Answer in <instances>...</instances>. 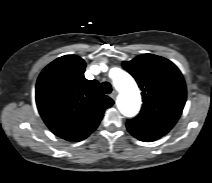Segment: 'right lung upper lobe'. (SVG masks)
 <instances>
[{"mask_svg": "<svg viewBox=\"0 0 212 183\" xmlns=\"http://www.w3.org/2000/svg\"><path fill=\"white\" fill-rule=\"evenodd\" d=\"M85 62L62 56L50 63L36 84L38 111L49 129L68 141H81L99 125L113 100L102 94L96 80L84 77Z\"/></svg>", "mask_w": 212, "mask_h": 183, "instance_id": "1", "label": "right lung upper lobe"}]
</instances>
